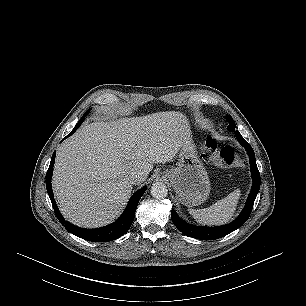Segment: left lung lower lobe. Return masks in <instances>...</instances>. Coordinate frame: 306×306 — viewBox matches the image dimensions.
Returning <instances> with one entry per match:
<instances>
[{"mask_svg": "<svg viewBox=\"0 0 306 306\" xmlns=\"http://www.w3.org/2000/svg\"><path fill=\"white\" fill-rule=\"evenodd\" d=\"M237 139L240 142V144L246 149L249 155L250 168L253 180L252 188L248 196V199L246 201L244 209L233 222L218 227H202V226L190 225L184 222L182 219H180L177 213L172 209L171 219L174 225L183 234L201 240H214L224 237L227 234L238 229L249 218L257 193L260 189V173L256 165L255 154L252 147L244 140V138L241 135L237 136Z\"/></svg>", "mask_w": 306, "mask_h": 306, "instance_id": "left-lung-lower-lobe-1", "label": "left lung lower lobe"}]
</instances>
